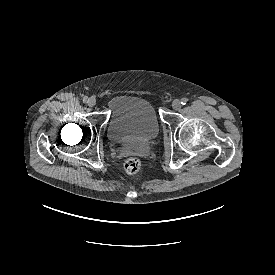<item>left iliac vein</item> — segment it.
Masks as SVG:
<instances>
[{"mask_svg":"<svg viewBox=\"0 0 275 275\" xmlns=\"http://www.w3.org/2000/svg\"><path fill=\"white\" fill-rule=\"evenodd\" d=\"M172 108L175 110H179L181 108V103L179 100H174L172 102Z\"/></svg>","mask_w":275,"mask_h":275,"instance_id":"obj_1","label":"left iliac vein"}]
</instances>
